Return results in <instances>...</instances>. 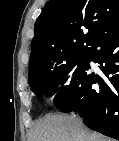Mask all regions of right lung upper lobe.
I'll list each match as a JSON object with an SVG mask.
<instances>
[{"label":"right lung upper lobe","mask_w":119,"mask_h":141,"mask_svg":"<svg viewBox=\"0 0 119 141\" xmlns=\"http://www.w3.org/2000/svg\"><path fill=\"white\" fill-rule=\"evenodd\" d=\"M117 19L119 0H50L35 22L29 75L87 57Z\"/></svg>","instance_id":"right-lung-upper-lobe-1"}]
</instances>
